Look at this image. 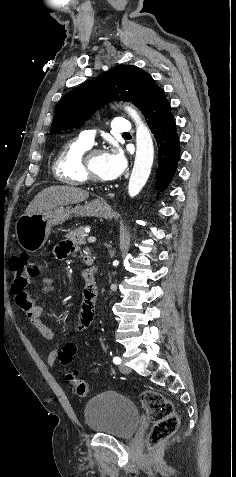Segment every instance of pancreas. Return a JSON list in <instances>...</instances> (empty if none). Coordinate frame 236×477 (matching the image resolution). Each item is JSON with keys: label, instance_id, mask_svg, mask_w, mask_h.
Segmentation results:
<instances>
[{"label": "pancreas", "instance_id": "cf45deb5", "mask_svg": "<svg viewBox=\"0 0 236 477\" xmlns=\"http://www.w3.org/2000/svg\"><path fill=\"white\" fill-rule=\"evenodd\" d=\"M67 239L72 241L74 244L82 245L86 244L87 234L85 232V226L79 227L75 230L70 231L65 236Z\"/></svg>", "mask_w": 236, "mask_h": 477}]
</instances>
